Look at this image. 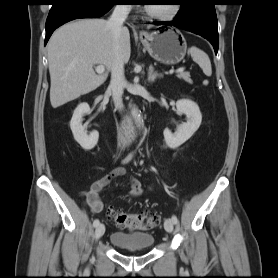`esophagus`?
Masks as SVG:
<instances>
[{
	"mask_svg": "<svg viewBox=\"0 0 278 278\" xmlns=\"http://www.w3.org/2000/svg\"><path fill=\"white\" fill-rule=\"evenodd\" d=\"M147 34H148V33H147L146 31H144V30H141V31H140V36H147Z\"/></svg>",
	"mask_w": 278,
	"mask_h": 278,
	"instance_id": "34e87169",
	"label": "esophagus"
}]
</instances>
